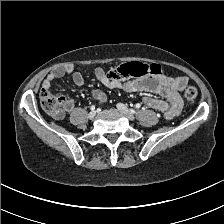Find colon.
I'll list each match as a JSON object with an SVG mask.
<instances>
[{
    "mask_svg": "<svg viewBox=\"0 0 224 224\" xmlns=\"http://www.w3.org/2000/svg\"><path fill=\"white\" fill-rule=\"evenodd\" d=\"M162 74V67L159 64L130 63L110 71L109 76L113 79H125L131 77H143L147 75ZM198 92L195 87L189 86L184 90V97L187 101L193 102L197 98ZM43 109L52 116H57L62 107L67 103V98L63 94L51 93L50 90H42L40 94Z\"/></svg>",
    "mask_w": 224,
    "mask_h": 224,
    "instance_id": "obj_1",
    "label": "colon"
}]
</instances>
